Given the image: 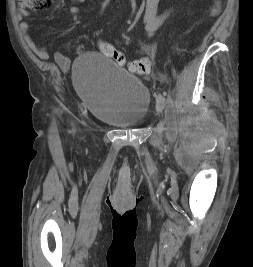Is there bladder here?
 Listing matches in <instances>:
<instances>
[{
    "label": "bladder",
    "instance_id": "obj_1",
    "mask_svg": "<svg viewBox=\"0 0 253 267\" xmlns=\"http://www.w3.org/2000/svg\"><path fill=\"white\" fill-rule=\"evenodd\" d=\"M74 86L90 113L115 127L143 124L151 106L148 88L135 75L97 52L80 54L72 67Z\"/></svg>",
    "mask_w": 253,
    "mask_h": 267
}]
</instances>
